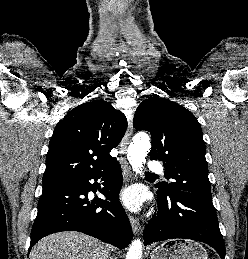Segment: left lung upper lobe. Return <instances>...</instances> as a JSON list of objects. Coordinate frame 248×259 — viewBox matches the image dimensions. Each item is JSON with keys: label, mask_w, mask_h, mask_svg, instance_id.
Here are the masks:
<instances>
[{"label": "left lung upper lobe", "mask_w": 248, "mask_h": 259, "mask_svg": "<svg viewBox=\"0 0 248 259\" xmlns=\"http://www.w3.org/2000/svg\"><path fill=\"white\" fill-rule=\"evenodd\" d=\"M133 125L152 136L150 158L162 160L166 178L159 192L166 196L212 200L205 142L196 117L168 99L150 97L137 108Z\"/></svg>", "instance_id": "left-lung-upper-lobe-1"}]
</instances>
